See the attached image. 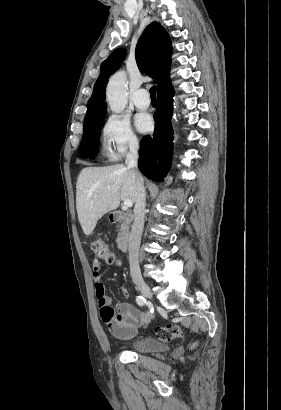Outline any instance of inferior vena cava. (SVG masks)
Segmentation results:
<instances>
[{
  "mask_svg": "<svg viewBox=\"0 0 281 410\" xmlns=\"http://www.w3.org/2000/svg\"><path fill=\"white\" fill-rule=\"evenodd\" d=\"M138 150L139 144L137 142L130 145V151L128 152L125 160V164L128 169H131L137 180V198L134 208V222L129 237V263L130 273L133 280L141 279V272L139 268L138 255L140 240L144 228L145 207H146V192L143 185V178L138 172Z\"/></svg>",
  "mask_w": 281,
  "mask_h": 410,
  "instance_id": "inferior-vena-cava-1",
  "label": "inferior vena cava"
}]
</instances>
